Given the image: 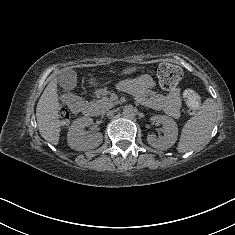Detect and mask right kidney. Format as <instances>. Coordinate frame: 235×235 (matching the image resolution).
<instances>
[{"label":"right kidney","instance_id":"ca27d5eb","mask_svg":"<svg viewBox=\"0 0 235 235\" xmlns=\"http://www.w3.org/2000/svg\"><path fill=\"white\" fill-rule=\"evenodd\" d=\"M87 125H90V122L87 120L78 119L75 122L68 135V141L71 147L77 150H84L95 148L100 144L102 135L100 133L86 135L85 127Z\"/></svg>","mask_w":235,"mask_h":235}]
</instances>
